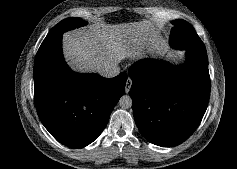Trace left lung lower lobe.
<instances>
[{"mask_svg": "<svg viewBox=\"0 0 237 169\" xmlns=\"http://www.w3.org/2000/svg\"><path fill=\"white\" fill-rule=\"evenodd\" d=\"M130 96L137 127L151 143L172 147L187 140L200 124L210 97L206 50H186L178 68L153 59L129 69Z\"/></svg>", "mask_w": 237, "mask_h": 169, "instance_id": "0a47b994", "label": "left lung lower lobe"}]
</instances>
